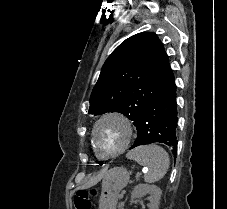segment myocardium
<instances>
[{
	"label": "myocardium",
	"instance_id": "obj_1",
	"mask_svg": "<svg viewBox=\"0 0 227 209\" xmlns=\"http://www.w3.org/2000/svg\"><path fill=\"white\" fill-rule=\"evenodd\" d=\"M107 118H115L119 121H121L125 127L127 128V138H126V141L124 142V144L116 151H113V152H110V153H106V154H103L100 152L97 144H96V140H95V131H96V128L98 126V124L103 121L104 119H107ZM133 127H132V124L129 120V118L119 112V111H108L104 114H102L93 124L92 126V129H91V134H90V140H91V145H92V148L96 154V156L100 159H103V160H107V159H111V158H114L118 155H120L128 146L129 144L131 143V140H132V137H133Z\"/></svg>",
	"mask_w": 227,
	"mask_h": 209
}]
</instances>
